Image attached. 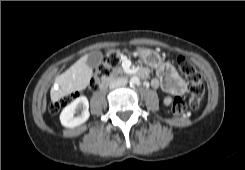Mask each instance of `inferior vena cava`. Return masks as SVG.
Returning <instances> with one entry per match:
<instances>
[{
  "mask_svg": "<svg viewBox=\"0 0 245 170\" xmlns=\"http://www.w3.org/2000/svg\"><path fill=\"white\" fill-rule=\"evenodd\" d=\"M128 80L126 77H120L117 79H114L110 82L109 87L110 89H114L117 87L125 86L127 84Z\"/></svg>",
  "mask_w": 245,
  "mask_h": 170,
  "instance_id": "inferior-vena-cava-1",
  "label": "inferior vena cava"
}]
</instances>
